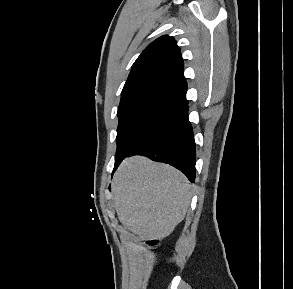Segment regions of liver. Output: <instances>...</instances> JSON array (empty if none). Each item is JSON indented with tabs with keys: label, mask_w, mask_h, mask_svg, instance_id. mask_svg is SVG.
I'll return each mask as SVG.
<instances>
[{
	"label": "liver",
	"mask_w": 293,
	"mask_h": 289,
	"mask_svg": "<svg viewBox=\"0 0 293 289\" xmlns=\"http://www.w3.org/2000/svg\"><path fill=\"white\" fill-rule=\"evenodd\" d=\"M119 221L145 240L168 236L184 219L192 185L175 168L142 156L125 159L112 181Z\"/></svg>",
	"instance_id": "1"
}]
</instances>
